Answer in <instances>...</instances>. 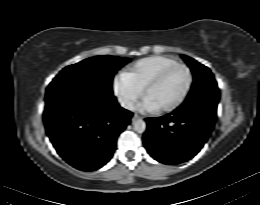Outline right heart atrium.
Returning a JSON list of instances; mask_svg holds the SVG:
<instances>
[{
    "instance_id": "d8ad5b80",
    "label": "right heart atrium",
    "mask_w": 260,
    "mask_h": 205,
    "mask_svg": "<svg viewBox=\"0 0 260 205\" xmlns=\"http://www.w3.org/2000/svg\"><path fill=\"white\" fill-rule=\"evenodd\" d=\"M113 89L121 105L126 109H132L142 95V91L131 84L123 74L115 79Z\"/></svg>"
}]
</instances>
